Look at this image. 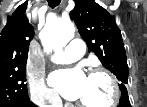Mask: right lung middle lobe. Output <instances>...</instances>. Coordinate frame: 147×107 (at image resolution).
Instances as JSON below:
<instances>
[{
    "mask_svg": "<svg viewBox=\"0 0 147 107\" xmlns=\"http://www.w3.org/2000/svg\"><path fill=\"white\" fill-rule=\"evenodd\" d=\"M25 67L0 73V107L29 100Z\"/></svg>",
    "mask_w": 147,
    "mask_h": 107,
    "instance_id": "1",
    "label": "right lung middle lobe"
}]
</instances>
